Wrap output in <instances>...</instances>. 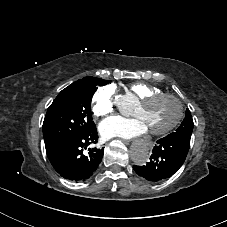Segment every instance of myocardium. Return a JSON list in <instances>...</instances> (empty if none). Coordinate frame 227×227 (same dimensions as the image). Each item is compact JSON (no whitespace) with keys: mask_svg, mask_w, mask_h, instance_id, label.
<instances>
[{"mask_svg":"<svg viewBox=\"0 0 227 227\" xmlns=\"http://www.w3.org/2000/svg\"><path fill=\"white\" fill-rule=\"evenodd\" d=\"M163 97H169L176 102L177 107H178V113H177V116L175 117L174 121L165 129H163V130H148L150 134L155 135V136H162V135H165L166 133L174 130L176 127L179 126V124L181 123V121L183 120L184 115H185L184 103L182 102V100L177 95H175L173 93H168V92L162 91V92H159V93H156V94L147 95V96L140 98L139 104L141 106L149 105V104H151V103H153V102H155L158 99L163 98Z\"/></svg>","mask_w":227,"mask_h":227,"instance_id":"1","label":"myocardium"}]
</instances>
